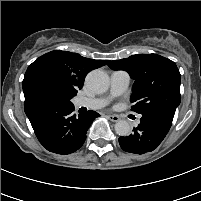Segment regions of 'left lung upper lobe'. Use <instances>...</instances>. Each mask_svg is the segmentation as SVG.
I'll list each match as a JSON object with an SVG mask.
<instances>
[{
    "instance_id": "left-lung-upper-lobe-1",
    "label": "left lung upper lobe",
    "mask_w": 201,
    "mask_h": 201,
    "mask_svg": "<svg viewBox=\"0 0 201 201\" xmlns=\"http://www.w3.org/2000/svg\"><path fill=\"white\" fill-rule=\"evenodd\" d=\"M113 70H125L135 80L132 110L146 115L164 111L175 114L180 104L181 76L176 64L157 54H138L126 59L108 61Z\"/></svg>"
}]
</instances>
